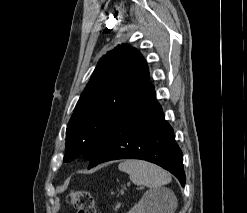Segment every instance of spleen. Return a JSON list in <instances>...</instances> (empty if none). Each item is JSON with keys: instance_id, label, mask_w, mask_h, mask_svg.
<instances>
[{"instance_id": "spleen-1", "label": "spleen", "mask_w": 247, "mask_h": 213, "mask_svg": "<svg viewBox=\"0 0 247 213\" xmlns=\"http://www.w3.org/2000/svg\"><path fill=\"white\" fill-rule=\"evenodd\" d=\"M119 170L129 174L130 180L136 185L158 188L171 182V175L164 169L142 160H126L118 165ZM176 202L171 208L174 213Z\"/></svg>"}]
</instances>
